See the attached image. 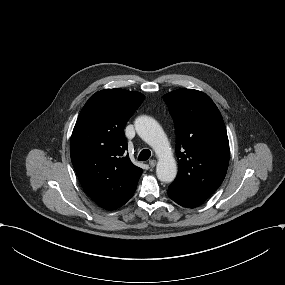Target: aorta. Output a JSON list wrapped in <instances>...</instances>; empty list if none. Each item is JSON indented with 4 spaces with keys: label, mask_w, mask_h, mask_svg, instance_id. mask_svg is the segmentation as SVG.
<instances>
[{
    "label": "aorta",
    "mask_w": 285,
    "mask_h": 285,
    "mask_svg": "<svg viewBox=\"0 0 285 285\" xmlns=\"http://www.w3.org/2000/svg\"><path fill=\"white\" fill-rule=\"evenodd\" d=\"M137 134L155 151L158 156L156 174L162 182H172L177 175V165L168 139L159 123L149 117L140 116L135 120Z\"/></svg>",
    "instance_id": "aorta-1"
}]
</instances>
